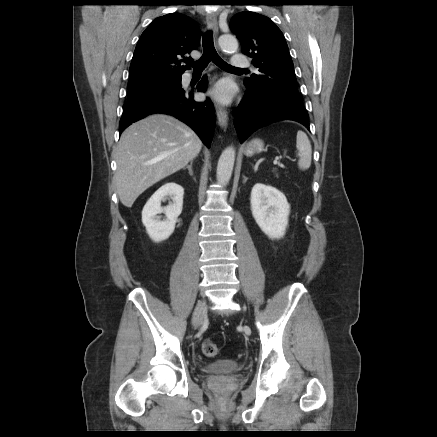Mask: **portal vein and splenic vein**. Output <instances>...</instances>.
<instances>
[{
	"label": "portal vein and splenic vein",
	"mask_w": 437,
	"mask_h": 437,
	"mask_svg": "<svg viewBox=\"0 0 437 437\" xmlns=\"http://www.w3.org/2000/svg\"><path fill=\"white\" fill-rule=\"evenodd\" d=\"M274 164H275V165L278 164L280 167H284L282 164H280L279 162H277V160L274 161Z\"/></svg>",
	"instance_id": "18ae733b"
}]
</instances>
